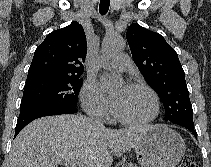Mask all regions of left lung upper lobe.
I'll list each match as a JSON object with an SVG mask.
<instances>
[{
	"label": "left lung upper lobe",
	"mask_w": 211,
	"mask_h": 167,
	"mask_svg": "<svg viewBox=\"0 0 211 167\" xmlns=\"http://www.w3.org/2000/svg\"><path fill=\"white\" fill-rule=\"evenodd\" d=\"M133 60L165 107V120L194 125L184 70L176 51L164 37L132 24L126 33Z\"/></svg>",
	"instance_id": "obj_1"
}]
</instances>
